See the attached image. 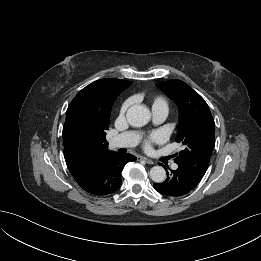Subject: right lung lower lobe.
Here are the masks:
<instances>
[{
	"mask_svg": "<svg viewBox=\"0 0 261 261\" xmlns=\"http://www.w3.org/2000/svg\"><path fill=\"white\" fill-rule=\"evenodd\" d=\"M135 160L136 158L131 154L107 151L100 154L73 177L86 192L94 195H107L120 188L123 167L126 163Z\"/></svg>",
	"mask_w": 261,
	"mask_h": 261,
	"instance_id": "1",
	"label": "right lung lower lobe"
}]
</instances>
